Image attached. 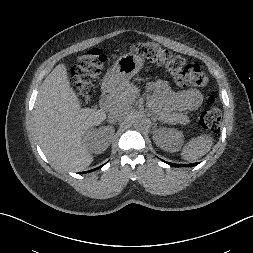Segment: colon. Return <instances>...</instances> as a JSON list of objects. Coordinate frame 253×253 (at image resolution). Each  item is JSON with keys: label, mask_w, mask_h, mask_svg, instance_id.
Wrapping results in <instances>:
<instances>
[{"label": "colon", "mask_w": 253, "mask_h": 253, "mask_svg": "<svg viewBox=\"0 0 253 253\" xmlns=\"http://www.w3.org/2000/svg\"><path fill=\"white\" fill-rule=\"evenodd\" d=\"M135 53L151 62L163 66L180 86H204L207 76L200 65L188 62L182 57L162 49L153 42H142L129 47ZM107 64L105 53L98 48L86 51L77 59L71 73V83L81 104H87L99 77ZM205 100L208 108L199 117L200 126L205 130L216 131L221 122V113L215 106L216 98L211 91H206Z\"/></svg>", "instance_id": "1"}]
</instances>
